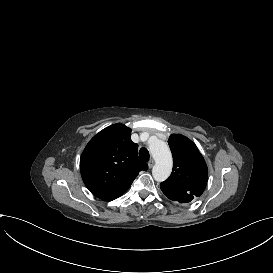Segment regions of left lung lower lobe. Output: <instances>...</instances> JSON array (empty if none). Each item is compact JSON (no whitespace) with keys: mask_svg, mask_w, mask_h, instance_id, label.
I'll use <instances>...</instances> for the list:
<instances>
[{"mask_svg":"<svg viewBox=\"0 0 273 273\" xmlns=\"http://www.w3.org/2000/svg\"><path fill=\"white\" fill-rule=\"evenodd\" d=\"M193 198H194L193 196H189L184 199H178V200H173V201H178L180 203H187V202H190Z\"/></svg>","mask_w":273,"mask_h":273,"instance_id":"0a47b994","label":"left lung lower lobe"}]
</instances>
